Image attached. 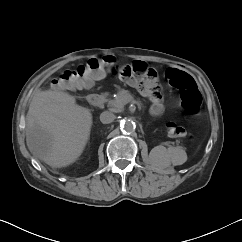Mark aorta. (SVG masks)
Wrapping results in <instances>:
<instances>
[{
  "instance_id": "aorta-1",
  "label": "aorta",
  "mask_w": 242,
  "mask_h": 242,
  "mask_svg": "<svg viewBox=\"0 0 242 242\" xmlns=\"http://www.w3.org/2000/svg\"><path fill=\"white\" fill-rule=\"evenodd\" d=\"M121 130L124 132H132L134 131L136 125L132 120H123L120 124Z\"/></svg>"
}]
</instances>
